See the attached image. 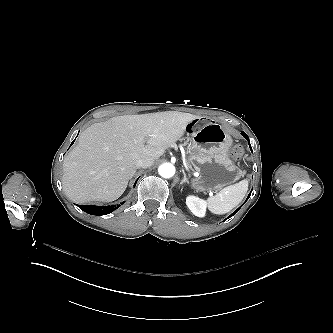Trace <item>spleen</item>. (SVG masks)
<instances>
[{"label": "spleen", "instance_id": "3e777b00", "mask_svg": "<svg viewBox=\"0 0 333 333\" xmlns=\"http://www.w3.org/2000/svg\"><path fill=\"white\" fill-rule=\"evenodd\" d=\"M247 190V180L223 187L216 195L206 199L207 208L213 214H225L243 200Z\"/></svg>", "mask_w": 333, "mask_h": 333}]
</instances>
